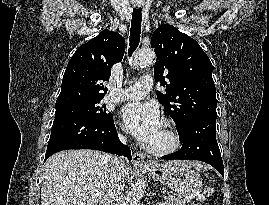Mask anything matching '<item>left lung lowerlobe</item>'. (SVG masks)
<instances>
[{"label": "left lung lower lobe", "mask_w": 269, "mask_h": 205, "mask_svg": "<svg viewBox=\"0 0 269 205\" xmlns=\"http://www.w3.org/2000/svg\"><path fill=\"white\" fill-rule=\"evenodd\" d=\"M183 141L182 148L161 159H187L206 162L224 174V166L216 141V116H201L188 122L178 132Z\"/></svg>", "instance_id": "0a47b994"}]
</instances>
